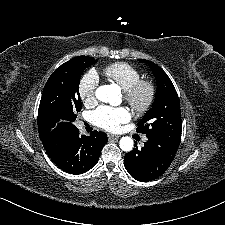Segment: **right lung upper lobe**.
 <instances>
[{"instance_id":"right-lung-upper-lobe-1","label":"right lung upper lobe","mask_w":225,"mask_h":225,"mask_svg":"<svg viewBox=\"0 0 225 225\" xmlns=\"http://www.w3.org/2000/svg\"><path fill=\"white\" fill-rule=\"evenodd\" d=\"M75 60H76V57L65 62L64 64H70L71 62H74ZM40 139L43 143V146H44L46 152L49 154L61 145L62 140L64 138H62V139H42V138H40Z\"/></svg>"}]
</instances>
